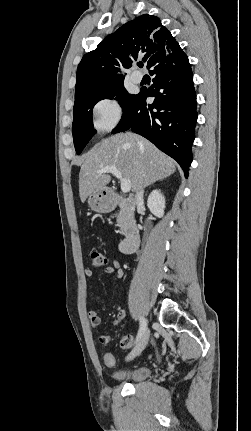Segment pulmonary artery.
I'll return each instance as SVG.
<instances>
[{"mask_svg":"<svg viewBox=\"0 0 251 431\" xmlns=\"http://www.w3.org/2000/svg\"><path fill=\"white\" fill-rule=\"evenodd\" d=\"M141 79H142V75H141L140 73H138V72H134V73L131 75V80H132L133 82H135V83H139V82L141 81Z\"/></svg>","mask_w":251,"mask_h":431,"instance_id":"obj_1","label":"pulmonary artery"}]
</instances>
